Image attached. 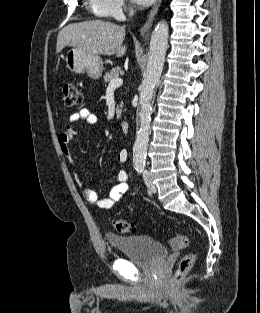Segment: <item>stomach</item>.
I'll list each match as a JSON object with an SVG mask.
<instances>
[{"instance_id": "obj_1", "label": "stomach", "mask_w": 260, "mask_h": 313, "mask_svg": "<svg viewBox=\"0 0 260 313\" xmlns=\"http://www.w3.org/2000/svg\"><path fill=\"white\" fill-rule=\"evenodd\" d=\"M67 68L74 73H87L92 79H99L103 72L101 58L94 53L81 49H70L65 57Z\"/></svg>"}]
</instances>
